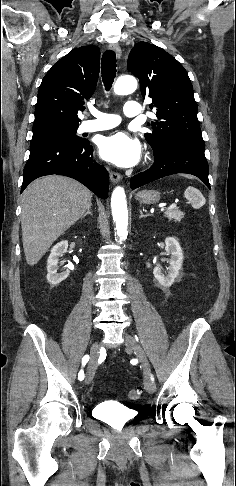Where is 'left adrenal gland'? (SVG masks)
Listing matches in <instances>:
<instances>
[{
  "label": "left adrenal gland",
  "mask_w": 236,
  "mask_h": 486,
  "mask_svg": "<svg viewBox=\"0 0 236 486\" xmlns=\"http://www.w3.org/2000/svg\"><path fill=\"white\" fill-rule=\"evenodd\" d=\"M149 216V214H144L142 210H140V219L143 218V217H147Z\"/></svg>",
  "instance_id": "left-adrenal-gland-1"
}]
</instances>
